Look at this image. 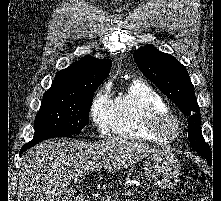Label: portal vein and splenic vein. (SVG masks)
Instances as JSON below:
<instances>
[{
	"instance_id": "obj_1",
	"label": "portal vein and splenic vein",
	"mask_w": 221,
	"mask_h": 201,
	"mask_svg": "<svg viewBox=\"0 0 221 201\" xmlns=\"http://www.w3.org/2000/svg\"><path fill=\"white\" fill-rule=\"evenodd\" d=\"M94 171H100V168H96ZM133 193L130 191L125 192V196H132ZM105 201H116L115 197H106Z\"/></svg>"
}]
</instances>
